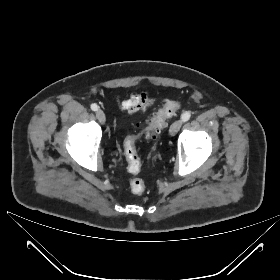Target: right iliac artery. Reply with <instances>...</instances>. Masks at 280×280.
I'll list each match as a JSON object with an SVG mask.
<instances>
[{"mask_svg":"<svg viewBox=\"0 0 280 280\" xmlns=\"http://www.w3.org/2000/svg\"><path fill=\"white\" fill-rule=\"evenodd\" d=\"M98 108H99V107H98L96 104H91V109H92L93 111H97Z\"/></svg>","mask_w":280,"mask_h":280,"instance_id":"1","label":"right iliac artery"}]
</instances>
